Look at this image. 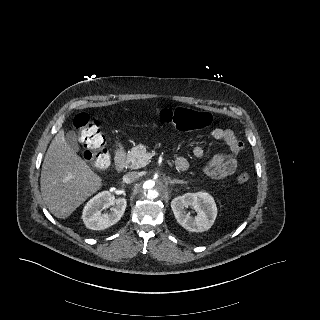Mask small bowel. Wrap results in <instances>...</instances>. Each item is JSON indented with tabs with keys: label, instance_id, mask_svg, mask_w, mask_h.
<instances>
[{
	"label": "small bowel",
	"instance_id": "c3829d8e",
	"mask_svg": "<svg viewBox=\"0 0 320 320\" xmlns=\"http://www.w3.org/2000/svg\"><path fill=\"white\" fill-rule=\"evenodd\" d=\"M211 137L217 141H224L228 146V151L213 156L206 164L205 171L213 179H223L234 174L238 167L237 157L242 152L244 145L237 138L235 133L229 129L214 128L211 131ZM193 154L197 158L204 156V150L201 146L193 149ZM176 161L179 164L188 162L184 157H178Z\"/></svg>",
	"mask_w": 320,
	"mask_h": 320
}]
</instances>
